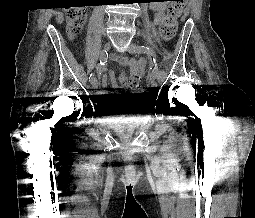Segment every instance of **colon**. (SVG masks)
<instances>
[{"label": "colon", "instance_id": "obj_1", "mask_svg": "<svg viewBox=\"0 0 255 218\" xmlns=\"http://www.w3.org/2000/svg\"><path fill=\"white\" fill-rule=\"evenodd\" d=\"M167 14L163 18L160 25V35L163 40H171L178 27V18L181 16L185 0H169ZM88 12L85 7H71L66 11L67 18V32L70 36H78L84 29L87 22ZM141 88L139 92H143Z\"/></svg>", "mask_w": 255, "mask_h": 218}]
</instances>
